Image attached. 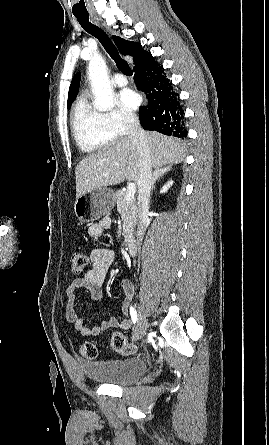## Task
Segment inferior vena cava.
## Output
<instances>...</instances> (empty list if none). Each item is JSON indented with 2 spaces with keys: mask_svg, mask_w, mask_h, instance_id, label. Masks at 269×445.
Wrapping results in <instances>:
<instances>
[{
  "mask_svg": "<svg viewBox=\"0 0 269 445\" xmlns=\"http://www.w3.org/2000/svg\"><path fill=\"white\" fill-rule=\"evenodd\" d=\"M129 137L135 142L140 156V176L138 181L139 222L137 241L140 243L148 223L150 191L152 185V163L146 133L137 117L128 118Z\"/></svg>",
  "mask_w": 269,
  "mask_h": 445,
  "instance_id": "1",
  "label": "inferior vena cava"
}]
</instances>
